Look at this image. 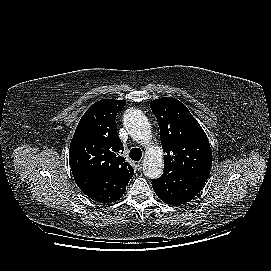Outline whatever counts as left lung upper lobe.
Listing matches in <instances>:
<instances>
[{"label":"left lung upper lobe","instance_id":"1","mask_svg":"<svg viewBox=\"0 0 271 271\" xmlns=\"http://www.w3.org/2000/svg\"><path fill=\"white\" fill-rule=\"evenodd\" d=\"M150 107L160 127L165 153L164 174L178 172L203 186L210 174L212 151L200 124L188 108L175 98L153 100Z\"/></svg>","mask_w":271,"mask_h":271}]
</instances>
